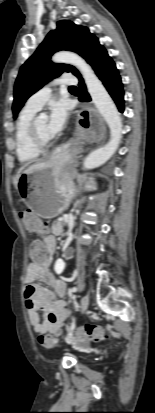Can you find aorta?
<instances>
[{"instance_id":"obj_1","label":"aorta","mask_w":155,"mask_h":413,"mask_svg":"<svg viewBox=\"0 0 155 413\" xmlns=\"http://www.w3.org/2000/svg\"><path fill=\"white\" fill-rule=\"evenodd\" d=\"M52 60L56 63L71 64L80 71L94 105L109 126V142L91 152L83 163L84 169L87 170L99 167L108 161L119 147L122 138V119L120 113L102 82L82 57L73 52L61 51L56 53ZM43 117L44 115H41V118Z\"/></svg>"}]
</instances>
